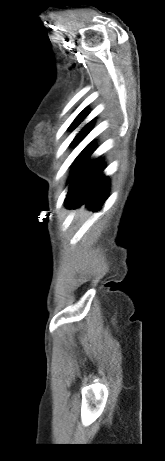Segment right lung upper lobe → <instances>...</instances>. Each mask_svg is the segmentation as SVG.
<instances>
[{
	"mask_svg": "<svg viewBox=\"0 0 165 461\" xmlns=\"http://www.w3.org/2000/svg\"><path fill=\"white\" fill-rule=\"evenodd\" d=\"M88 113H89V112L83 110V111L79 114V116H86Z\"/></svg>",
	"mask_w": 165,
	"mask_h": 461,
	"instance_id": "1",
	"label": "right lung upper lobe"
}]
</instances>
